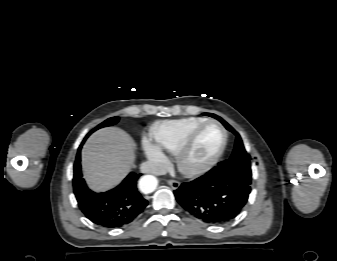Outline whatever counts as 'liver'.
Returning a JSON list of instances; mask_svg holds the SVG:
<instances>
[{
    "instance_id": "liver-1",
    "label": "liver",
    "mask_w": 337,
    "mask_h": 261,
    "mask_svg": "<svg viewBox=\"0 0 337 261\" xmlns=\"http://www.w3.org/2000/svg\"><path fill=\"white\" fill-rule=\"evenodd\" d=\"M135 146L125 131L109 127L93 133L82 149V167L96 191L117 185L134 166Z\"/></svg>"
}]
</instances>
